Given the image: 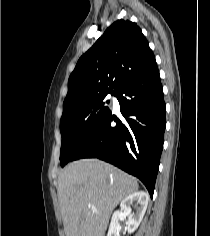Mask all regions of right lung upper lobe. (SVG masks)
I'll list each match as a JSON object with an SVG mask.
<instances>
[{
    "mask_svg": "<svg viewBox=\"0 0 210 236\" xmlns=\"http://www.w3.org/2000/svg\"><path fill=\"white\" fill-rule=\"evenodd\" d=\"M157 65L136 23L118 20L78 60L68 80L66 113L81 102L115 93L129 79Z\"/></svg>",
    "mask_w": 210,
    "mask_h": 236,
    "instance_id": "right-lung-upper-lobe-1",
    "label": "right lung upper lobe"
}]
</instances>
